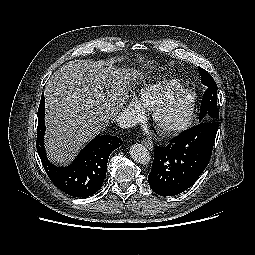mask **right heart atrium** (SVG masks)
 Wrapping results in <instances>:
<instances>
[{"instance_id": "d8ad5b80", "label": "right heart atrium", "mask_w": 255, "mask_h": 255, "mask_svg": "<svg viewBox=\"0 0 255 255\" xmlns=\"http://www.w3.org/2000/svg\"><path fill=\"white\" fill-rule=\"evenodd\" d=\"M126 113L131 121H138L143 117V112L135 100L128 101Z\"/></svg>"}]
</instances>
